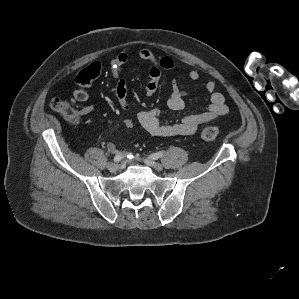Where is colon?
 Returning <instances> with one entry per match:
<instances>
[{
  "mask_svg": "<svg viewBox=\"0 0 299 299\" xmlns=\"http://www.w3.org/2000/svg\"><path fill=\"white\" fill-rule=\"evenodd\" d=\"M51 108L70 124H76L79 120V111L67 100L55 98L51 102ZM133 126L132 121L123 122L125 129H131ZM219 134L220 130L212 126L203 127L200 131V137L206 141L216 140Z\"/></svg>",
  "mask_w": 299,
  "mask_h": 299,
  "instance_id": "obj_1",
  "label": "colon"
}]
</instances>
